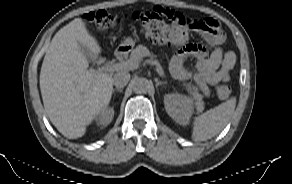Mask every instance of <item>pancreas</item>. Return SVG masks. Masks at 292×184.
Returning a JSON list of instances; mask_svg holds the SVG:
<instances>
[{
	"label": "pancreas",
	"instance_id": "pancreas-1",
	"mask_svg": "<svg viewBox=\"0 0 292 184\" xmlns=\"http://www.w3.org/2000/svg\"><path fill=\"white\" fill-rule=\"evenodd\" d=\"M150 56L152 59L155 58L150 51L143 45H138L132 52L130 59L134 62L139 63L143 60L144 57ZM188 92L192 95L195 100V105L197 111L201 112L204 109V102L202 101L203 95L199 93L198 88L191 83L184 84Z\"/></svg>",
	"mask_w": 292,
	"mask_h": 184
}]
</instances>
